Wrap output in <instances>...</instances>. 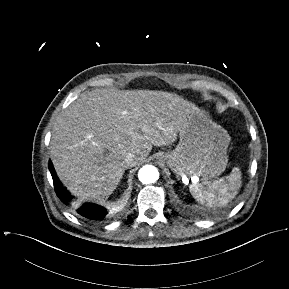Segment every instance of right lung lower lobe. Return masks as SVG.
<instances>
[{
	"label": "right lung lower lobe",
	"mask_w": 289,
	"mask_h": 289,
	"mask_svg": "<svg viewBox=\"0 0 289 289\" xmlns=\"http://www.w3.org/2000/svg\"><path fill=\"white\" fill-rule=\"evenodd\" d=\"M49 170L53 178L56 194L63 203L72 206L73 209H75L76 212L81 217L87 220H90L93 222H100L106 219L108 215V210L101 205L94 204V203H87V202L73 203L72 196L67 192L66 189L63 188L61 182L59 181L55 173V170L53 168L51 161H49Z\"/></svg>",
	"instance_id": "obj_1"
}]
</instances>
